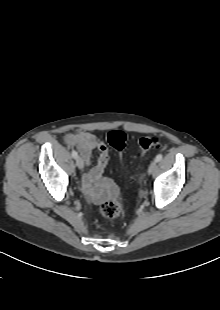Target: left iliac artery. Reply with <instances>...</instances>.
<instances>
[{
    "label": "left iliac artery",
    "mask_w": 220,
    "mask_h": 310,
    "mask_svg": "<svg viewBox=\"0 0 220 310\" xmlns=\"http://www.w3.org/2000/svg\"><path fill=\"white\" fill-rule=\"evenodd\" d=\"M162 158H163V155H162V154H158V155L156 156V158H155V161H156V162H159V161L162 160Z\"/></svg>",
    "instance_id": "obj_1"
}]
</instances>
